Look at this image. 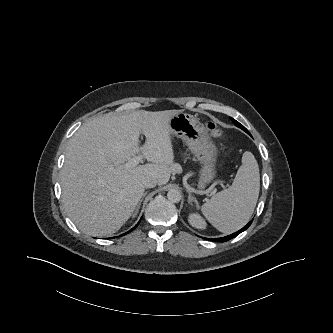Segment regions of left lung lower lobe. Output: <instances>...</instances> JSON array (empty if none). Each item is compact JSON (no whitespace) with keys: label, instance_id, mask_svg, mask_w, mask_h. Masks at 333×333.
Masks as SVG:
<instances>
[{"label":"left lung lower lobe","instance_id":"1","mask_svg":"<svg viewBox=\"0 0 333 333\" xmlns=\"http://www.w3.org/2000/svg\"><path fill=\"white\" fill-rule=\"evenodd\" d=\"M252 221H250L246 226H244L242 229H240L239 231L231 234V235H228V236H225V237H221V238H215L214 240L215 241H218V242H226L234 237H236L238 234H240L241 232L245 231L250 225H251ZM213 240V239H211Z\"/></svg>","mask_w":333,"mask_h":333}]
</instances>
